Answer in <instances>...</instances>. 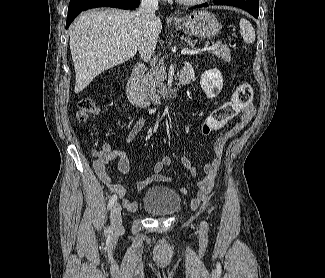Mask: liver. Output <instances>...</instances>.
<instances>
[{
  "mask_svg": "<svg viewBox=\"0 0 325 278\" xmlns=\"http://www.w3.org/2000/svg\"><path fill=\"white\" fill-rule=\"evenodd\" d=\"M158 34L162 23L156 17ZM143 26L138 12L96 9L82 14L70 27V50L76 74L75 93L103 71L137 53Z\"/></svg>",
  "mask_w": 325,
  "mask_h": 278,
  "instance_id": "obj_1",
  "label": "liver"
}]
</instances>
